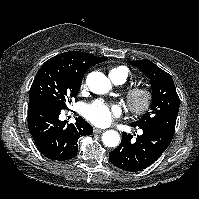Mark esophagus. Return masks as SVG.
Here are the masks:
<instances>
[{
  "mask_svg": "<svg viewBox=\"0 0 199 199\" xmlns=\"http://www.w3.org/2000/svg\"><path fill=\"white\" fill-rule=\"evenodd\" d=\"M104 130L103 129H99V128H94V130H93V132L95 133V134H100V133H102Z\"/></svg>",
  "mask_w": 199,
  "mask_h": 199,
  "instance_id": "esophagus-1",
  "label": "esophagus"
}]
</instances>
